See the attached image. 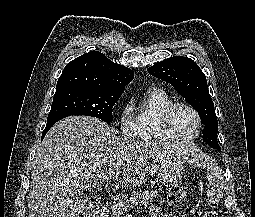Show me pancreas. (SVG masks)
<instances>
[{
    "mask_svg": "<svg viewBox=\"0 0 255 217\" xmlns=\"http://www.w3.org/2000/svg\"><path fill=\"white\" fill-rule=\"evenodd\" d=\"M158 195L157 191H149V190H139L132 194V196L128 199H125L119 204H115L110 208V214L112 217H122L126 214V212L130 211L132 208L136 206H148L150 203L154 201Z\"/></svg>",
    "mask_w": 255,
    "mask_h": 217,
    "instance_id": "1",
    "label": "pancreas"
}]
</instances>
